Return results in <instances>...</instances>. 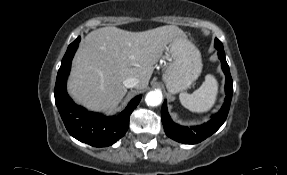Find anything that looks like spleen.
<instances>
[{
    "label": "spleen",
    "instance_id": "1",
    "mask_svg": "<svg viewBox=\"0 0 287 175\" xmlns=\"http://www.w3.org/2000/svg\"><path fill=\"white\" fill-rule=\"evenodd\" d=\"M218 83L211 74L206 75L205 81L192 94L181 93V104L192 112L203 113L209 111L216 102Z\"/></svg>",
    "mask_w": 287,
    "mask_h": 175
}]
</instances>
